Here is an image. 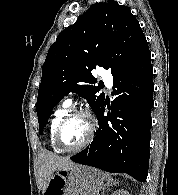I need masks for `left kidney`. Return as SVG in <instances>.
Listing matches in <instances>:
<instances>
[{"mask_svg":"<svg viewBox=\"0 0 178 195\" xmlns=\"http://www.w3.org/2000/svg\"><path fill=\"white\" fill-rule=\"evenodd\" d=\"M112 195H130V194L126 190L119 189V190H116Z\"/></svg>","mask_w":178,"mask_h":195,"instance_id":"left-kidney-1","label":"left kidney"}]
</instances>
